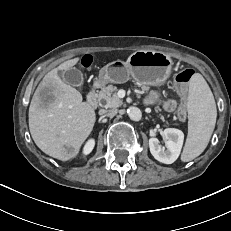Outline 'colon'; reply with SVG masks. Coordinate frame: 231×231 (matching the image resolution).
Wrapping results in <instances>:
<instances>
[{
    "label": "colon",
    "mask_w": 231,
    "mask_h": 231,
    "mask_svg": "<svg viewBox=\"0 0 231 231\" xmlns=\"http://www.w3.org/2000/svg\"><path fill=\"white\" fill-rule=\"evenodd\" d=\"M92 63L91 56H84L81 60V64L84 67H89ZM194 76V70L190 68H186L178 72L174 77V83L181 95H185L188 87V83ZM178 118L180 120H184L186 118V99L183 97L180 102V106L178 109Z\"/></svg>",
    "instance_id": "5ec220e1"
}]
</instances>
